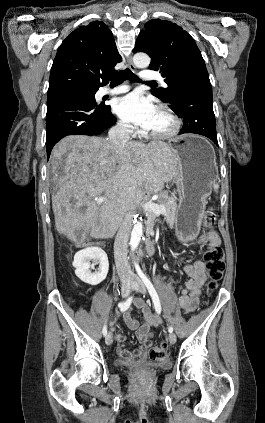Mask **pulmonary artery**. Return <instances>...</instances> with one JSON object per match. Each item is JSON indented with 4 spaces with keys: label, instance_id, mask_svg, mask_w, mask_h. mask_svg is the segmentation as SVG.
<instances>
[{
    "label": "pulmonary artery",
    "instance_id": "e3ab8cb5",
    "mask_svg": "<svg viewBox=\"0 0 265 423\" xmlns=\"http://www.w3.org/2000/svg\"><path fill=\"white\" fill-rule=\"evenodd\" d=\"M160 75L155 72V71H151V70H144L142 75H141V79L145 82H151L155 79H159ZM129 90L128 86L125 85H120L114 89H104L102 91L103 95H117V94H121L124 93L126 91Z\"/></svg>",
    "mask_w": 265,
    "mask_h": 423
}]
</instances>
